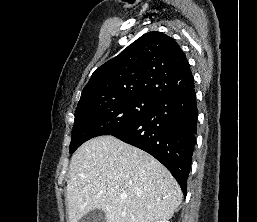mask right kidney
<instances>
[{
  "instance_id": "1",
  "label": "right kidney",
  "mask_w": 257,
  "mask_h": 222,
  "mask_svg": "<svg viewBox=\"0 0 257 222\" xmlns=\"http://www.w3.org/2000/svg\"><path fill=\"white\" fill-rule=\"evenodd\" d=\"M159 222H169V221H159Z\"/></svg>"
}]
</instances>
